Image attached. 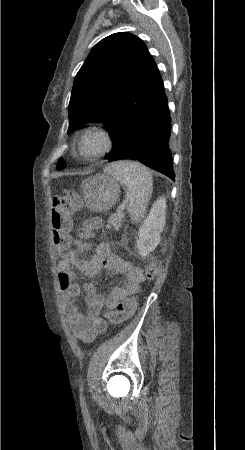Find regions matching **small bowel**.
Listing matches in <instances>:
<instances>
[{"instance_id":"1","label":"small bowel","mask_w":245,"mask_h":450,"mask_svg":"<svg viewBox=\"0 0 245 450\" xmlns=\"http://www.w3.org/2000/svg\"><path fill=\"white\" fill-rule=\"evenodd\" d=\"M88 248L89 246L86 245L78 250H70L58 264V281L64 293L62 298L64 314L73 333L86 342L92 341L97 335L105 332L107 325L101 318L103 309L114 310L117 303L136 292L143 281L141 270L112 254L107 243L97 245L90 258L82 259L85 249ZM72 266L80 267L88 275H95L104 269L115 275L126 276V279L104 296L97 293L94 283H84L83 290L88 307L86 311H82L76 304L81 287Z\"/></svg>"}]
</instances>
